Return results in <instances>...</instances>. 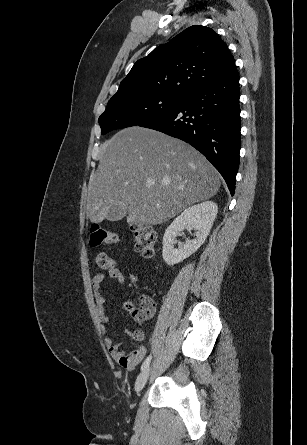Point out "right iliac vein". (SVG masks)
<instances>
[{"mask_svg": "<svg viewBox=\"0 0 307 445\" xmlns=\"http://www.w3.org/2000/svg\"><path fill=\"white\" fill-rule=\"evenodd\" d=\"M149 373H150V368L148 367V368L144 369L137 377L136 382H135V391L137 393L140 392L143 389V387L145 386V384L148 380V377H149Z\"/></svg>", "mask_w": 307, "mask_h": 445, "instance_id": "1", "label": "right iliac vein"}]
</instances>
